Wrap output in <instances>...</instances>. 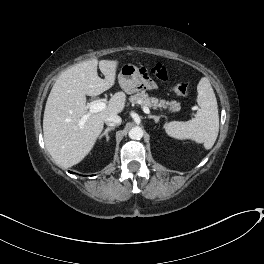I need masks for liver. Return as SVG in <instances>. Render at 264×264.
Returning a JSON list of instances; mask_svg holds the SVG:
<instances>
[{"label":"liver","instance_id":"1","mask_svg":"<svg viewBox=\"0 0 264 264\" xmlns=\"http://www.w3.org/2000/svg\"><path fill=\"white\" fill-rule=\"evenodd\" d=\"M97 66L104 79L98 76ZM117 66V60H87L65 70L53 85L45 106L43 134L46 149L58 165L68 168L81 162L93 148L105 119L123 111L126 95L117 92L103 111L91 114L80 125L89 113L86 96L110 89Z\"/></svg>","mask_w":264,"mask_h":264}]
</instances>
